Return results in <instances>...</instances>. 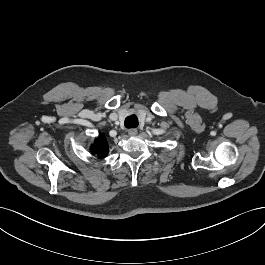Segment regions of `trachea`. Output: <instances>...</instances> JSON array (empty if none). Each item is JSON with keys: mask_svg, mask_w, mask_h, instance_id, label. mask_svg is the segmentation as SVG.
Masks as SVG:
<instances>
[{"mask_svg": "<svg viewBox=\"0 0 265 265\" xmlns=\"http://www.w3.org/2000/svg\"><path fill=\"white\" fill-rule=\"evenodd\" d=\"M126 128H136L138 126V118L135 114L128 116L124 123Z\"/></svg>", "mask_w": 265, "mask_h": 265, "instance_id": "3493384b", "label": "trachea"}]
</instances>
